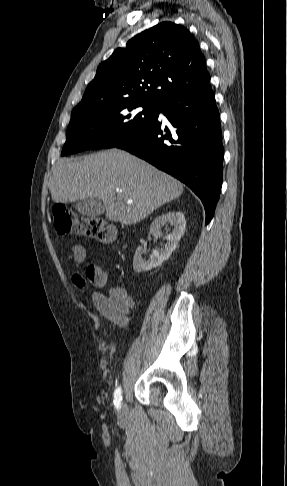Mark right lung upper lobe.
<instances>
[{
    "mask_svg": "<svg viewBox=\"0 0 287 486\" xmlns=\"http://www.w3.org/2000/svg\"><path fill=\"white\" fill-rule=\"evenodd\" d=\"M209 81L194 36L182 25L162 22L134 36L102 62L73 111L124 99L160 103Z\"/></svg>",
    "mask_w": 287,
    "mask_h": 486,
    "instance_id": "cb5924a9",
    "label": "right lung upper lobe"
}]
</instances>
